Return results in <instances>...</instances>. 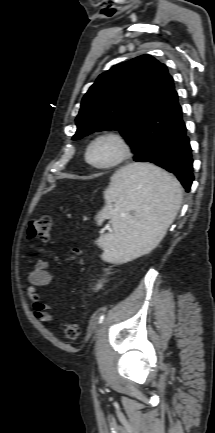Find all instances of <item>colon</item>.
I'll use <instances>...</instances> for the list:
<instances>
[{"label":"colon","mask_w":215,"mask_h":433,"mask_svg":"<svg viewBox=\"0 0 215 433\" xmlns=\"http://www.w3.org/2000/svg\"><path fill=\"white\" fill-rule=\"evenodd\" d=\"M52 221L49 216H42L30 222L28 228V238L38 239L48 242L51 235ZM74 254H79L77 249H73ZM63 336L67 340H76L80 335V325L78 323H68L63 327Z\"/></svg>","instance_id":"obj_1"}]
</instances>
